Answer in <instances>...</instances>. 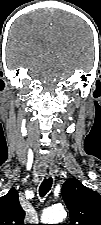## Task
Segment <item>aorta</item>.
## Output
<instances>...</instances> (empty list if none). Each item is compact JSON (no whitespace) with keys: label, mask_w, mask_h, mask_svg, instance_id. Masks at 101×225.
I'll return each instance as SVG.
<instances>
[{"label":"aorta","mask_w":101,"mask_h":225,"mask_svg":"<svg viewBox=\"0 0 101 225\" xmlns=\"http://www.w3.org/2000/svg\"><path fill=\"white\" fill-rule=\"evenodd\" d=\"M66 216L67 213L64 207L61 205H55L43 211L41 222L43 224H59L66 218Z\"/></svg>","instance_id":"1"}]
</instances>
